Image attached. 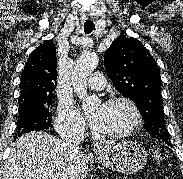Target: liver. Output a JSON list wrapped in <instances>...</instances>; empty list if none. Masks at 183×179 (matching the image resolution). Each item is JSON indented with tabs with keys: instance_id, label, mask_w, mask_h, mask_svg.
Wrapping results in <instances>:
<instances>
[{
	"instance_id": "6515ba94",
	"label": "liver",
	"mask_w": 183,
	"mask_h": 179,
	"mask_svg": "<svg viewBox=\"0 0 183 179\" xmlns=\"http://www.w3.org/2000/svg\"><path fill=\"white\" fill-rule=\"evenodd\" d=\"M89 158H73L57 139L45 132L18 138L10 149L3 179H85Z\"/></svg>"
}]
</instances>
